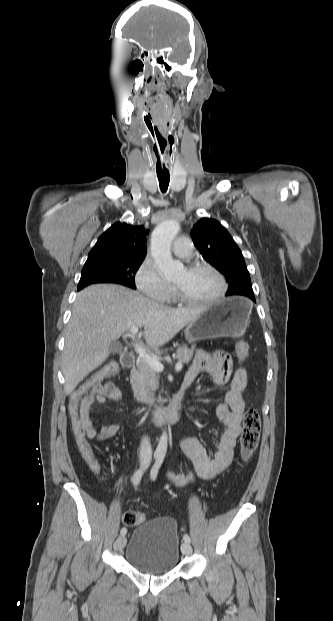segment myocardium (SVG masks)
<instances>
[{
  "label": "myocardium",
  "instance_id": "1",
  "mask_svg": "<svg viewBox=\"0 0 333 621\" xmlns=\"http://www.w3.org/2000/svg\"><path fill=\"white\" fill-rule=\"evenodd\" d=\"M186 270L189 272H194V271H199V270H207V271L212 272L220 281V290L212 298L205 299V300H196V299L189 298L177 286L173 285L174 297L179 302H182L187 305H192V306L211 305V304H214L220 301L226 295L227 290H228L227 281L224 275L221 273V271H219L215 266L209 263L196 262V263H193L187 266Z\"/></svg>",
  "mask_w": 333,
  "mask_h": 621
}]
</instances>
